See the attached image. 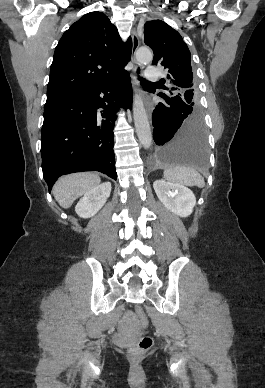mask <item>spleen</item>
<instances>
[{"mask_svg":"<svg viewBox=\"0 0 265 388\" xmlns=\"http://www.w3.org/2000/svg\"><path fill=\"white\" fill-rule=\"evenodd\" d=\"M164 178L168 182H175V184H182V186H199V188L205 186L204 178L194 168H186V166L168 168L164 172Z\"/></svg>","mask_w":265,"mask_h":388,"instance_id":"3e777b00","label":"spleen"}]
</instances>
